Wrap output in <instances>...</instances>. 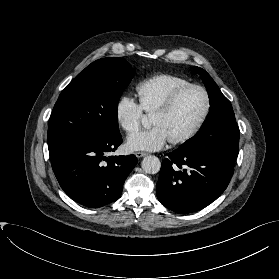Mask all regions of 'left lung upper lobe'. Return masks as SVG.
I'll use <instances>...</instances> for the list:
<instances>
[{
  "mask_svg": "<svg viewBox=\"0 0 279 279\" xmlns=\"http://www.w3.org/2000/svg\"><path fill=\"white\" fill-rule=\"evenodd\" d=\"M205 83L210 111L197 135L187 140L177 150L187 155L213 153L235 161L239 150V127L230 101L222 94L211 76L197 67Z\"/></svg>",
  "mask_w": 279,
  "mask_h": 279,
  "instance_id": "left-lung-upper-lobe-1",
  "label": "left lung upper lobe"
}]
</instances>
